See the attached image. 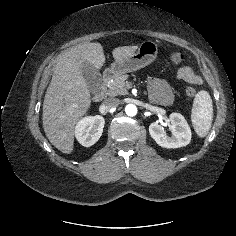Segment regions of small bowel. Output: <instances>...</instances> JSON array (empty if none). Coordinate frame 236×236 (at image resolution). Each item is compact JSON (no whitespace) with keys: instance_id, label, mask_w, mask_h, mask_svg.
<instances>
[{"instance_id":"c3829d8e","label":"small bowel","mask_w":236,"mask_h":236,"mask_svg":"<svg viewBox=\"0 0 236 236\" xmlns=\"http://www.w3.org/2000/svg\"><path fill=\"white\" fill-rule=\"evenodd\" d=\"M178 77L192 84H199L201 82L200 77L188 66H183L178 70ZM147 86L150 99L154 103L170 105L173 102V93L170 85L166 81L156 77H149Z\"/></svg>"}]
</instances>
